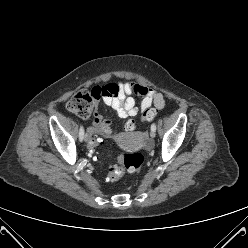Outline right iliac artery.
Instances as JSON below:
<instances>
[{
  "mask_svg": "<svg viewBox=\"0 0 248 248\" xmlns=\"http://www.w3.org/2000/svg\"><path fill=\"white\" fill-rule=\"evenodd\" d=\"M84 138V128L83 126L80 127V130H79V139L80 141H82Z\"/></svg>",
  "mask_w": 248,
  "mask_h": 248,
  "instance_id": "right-iliac-artery-1",
  "label": "right iliac artery"
}]
</instances>
